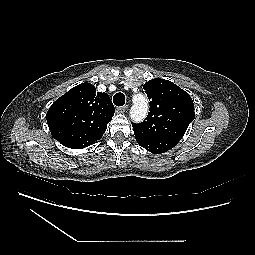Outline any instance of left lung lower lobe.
Wrapping results in <instances>:
<instances>
[{"label": "left lung lower lobe", "instance_id": "left-lung-lower-lobe-1", "mask_svg": "<svg viewBox=\"0 0 255 255\" xmlns=\"http://www.w3.org/2000/svg\"><path fill=\"white\" fill-rule=\"evenodd\" d=\"M138 144L154 154H161L172 149L179 141L174 139H154L140 140L136 139Z\"/></svg>", "mask_w": 255, "mask_h": 255}]
</instances>
